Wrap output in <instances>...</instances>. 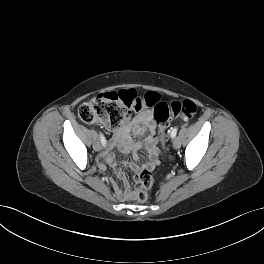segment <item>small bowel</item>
<instances>
[{
    "mask_svg": "<svg viewBox=\"0 0 264 264\" xmlns=\"http://www.w3.org/2000/svg\"><path fill=\"white\" fill-rule=\"evenodd\" d=\"M155 129L156 123L153 111L143 110L135 116L130 117L126 124L115 132L114 138L109 143V148L118 145L123 153L131 152L137 158V152L142 147H145L149 155L147 163L144 166L129 163L128 167L135 172H139L142 168L154 169L158 164L159 157ZM145 133H149V135L143 142L135 141L131 138V134L143 135ZM101 157L114 169L120 178L125 179L113 152L106 151ZM112 186L118 199L129 200L132 198V192L126 181H124L123 187H120L116 181L112 182Z\"/></svg>",
    "mask_w": 264,
    "mask_h": 264,
    "instance_id": "1",
    "label": "small bowel"
}]
</instances>
